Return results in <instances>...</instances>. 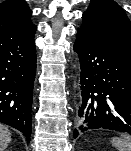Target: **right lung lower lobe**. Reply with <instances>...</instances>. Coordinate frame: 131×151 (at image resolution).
I'll return each instance as SVG.
<instances>
[{
  "label": "right lung lower lobe",
  "mask_w": 131,
  "mask_h": 151,
  "mask_svg": "<svg viewBox=\"0 0 131 151\" xmlns=\"http://www.w3.org/2000/svg\"><path fill=\"white\" fill-rule=\"evenodd\" d=\"M35 31L0 37V122L24 133L28 142L36 72Z\"/></svg>",
  "instance_id": "obj_1"
}]
</instances>
